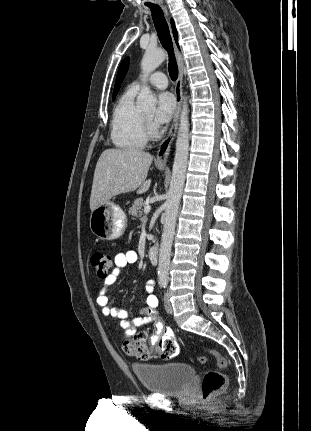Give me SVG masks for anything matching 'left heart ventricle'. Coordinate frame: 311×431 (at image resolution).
I'll return each instance as SVG.
<instances>
[{
	"label": "left heart ventricle",
	"mask_w": 311,
	"mask_h": 431,
	"mask_svg": "<svg viewBox=\"0 0 311 431\" xmlns=\"http://www.w3.org/2000/svg\"><path fill=\"white\" fill-rule=\"evenodd\" d=\"M153 112L145 113V116L149 119L152 118Z\"/></svg>",
	"instance_id": "b2bd125f"
}]
</instances>
